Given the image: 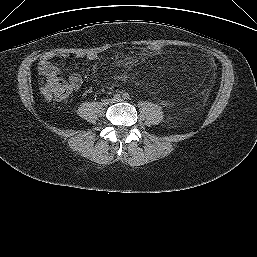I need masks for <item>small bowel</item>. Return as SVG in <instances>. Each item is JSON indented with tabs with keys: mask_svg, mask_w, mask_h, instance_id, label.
I'll return each instance as SVG.
<instances>
[{
	"mask_svg": "<svg viewBox=\"0 0 257 257\" xmlns=\"http://www.w3.org/2000/svg\"><path fill=\"white\" fill-rule=\"evenodd\" d=\"M64 57V56H62ZM78 57H82V55H78ZM54 58V54L49 53L41 57L38 64V71L43 76H49L50 74L56 73L58 68L51 62V59ZM89 59H95L96 55L90 54L88 55ZM69 86L72 90L78 91L83 83L82 77L77 72H70L68 78Z\"/></svg>",
	"mask_w": 257,
	"mask_h": 257,
	"instance_id": "obj_1",
	"label": "small bowel"
}]
</instances>
